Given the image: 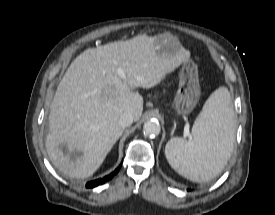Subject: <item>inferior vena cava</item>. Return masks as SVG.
Instances as JSON below:
<instances>
[{"mask_svg":"<svg viewBox=\"0 0 275 215\" xmlns=\"http://www.w3.org/2000/svg\"><path fill=\"white\" fill-rule=\"evenodd\" d=\"M133 115L131 112H125L123 113L119 120H118V125L121 127H128L133 123Z\"/></svg>","mask_w":275,"mask_h":215,"instance_id":"obj_1","label":"inferior vena cava"}]
</instances>
